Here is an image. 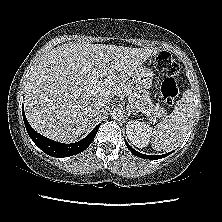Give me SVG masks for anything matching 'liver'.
<instances>
[{"mask_svg":"<svg viewBox=\"0 0 222 222\" xmlns=\"http://www.w3.org/2000/svg\"><path fill=\"white\" fill-rule=\"evenodd\" d=\"M158 49L67 43L43 55L29 76L24 110L32 128L55 141H76L91 109L123 93L130 77ZM98 82L93 84L92 80Z\"/></svg>","mask_w":222,"mask_h":222,"instance_id":"6515ba94","label":"liver"}]
</instances>
